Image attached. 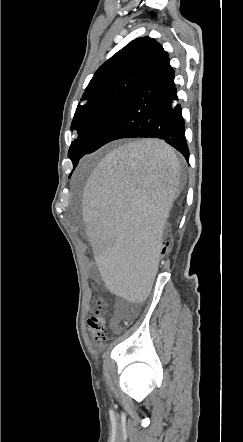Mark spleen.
<instances>
[{
    "label": "spleen",
    "instance_id": "3e777b00",
    "mask_svg": "<svg viewBox=\"0 0 243 442\" xmlns=\"http://www.w3.org/2000/svg\"><path fill=\"white\" fill-rule=\"evenodd\" d=\"M179 161L162 141L145 139L122 146L90 172L83 193L81 226L93 242L101 280H111L113 296L139 307L157 274L164 219L173 209ZM158 192V193H144Z\"/></svg>",
    "mask_w": 243,
    "mask_h": 442
}]
</instances>
